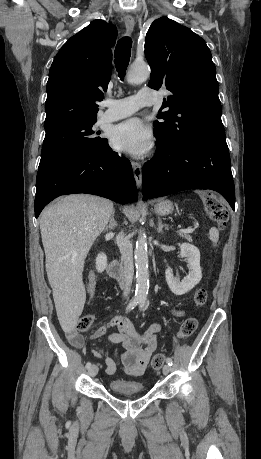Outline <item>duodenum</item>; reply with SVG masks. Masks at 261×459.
Segmentation results:
<instances>
[{"label":"duodenum","mask_w":261,"mask_h":459,"mask_svg":"<svg viewBox=\"0 0 261 459\" xmlns=\"http://www.w3.org/2000/svg\"><path fill=\"white\" fill-rule=\"evenodd\" d=\"M107 270L109 275L117 280L125 279V272L122 265L115 258H108L107 260Z\"/></svg>","instance_id":"duodenum-1"}]
</instances>
